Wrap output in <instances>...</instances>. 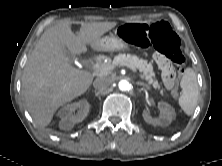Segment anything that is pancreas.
Instances as JSON below:
<instances>
[{
    "mask_svg": "<svg viewBox=\"0 0 222 166\" xmlns=\"http://www.w3.org/2000/svg\"><path fill=\"white\" fill-rule=\"evenodd\" d=\"M122 63H128L135 66L141 73H143L148 78V83L151 84L154 88L158 89L163 95L164 91L161 89L158 81L155 79V73L153 70L152 63H148L147 60L139 59L137 56H132L130 54H119L115 57L112 63H103L105 67H115Z\"/></svg>",
    "mask_w": 222,
    "mask_h": 166,
    "instance_id": "obj_1",
    "label": "pancreas"
}]
</instances>
